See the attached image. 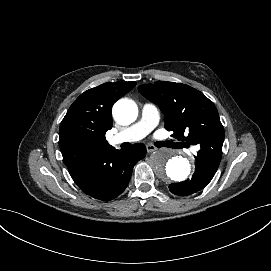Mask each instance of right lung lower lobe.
I'll use <instances>...</instances> for the list:
<instances>
[{"label": "right lung lower lobe", "instance_id": "right-lung-lower-lobe-1", "mask_svg": "<svg viewBox=\"0 0 271 271\" xmlns=\"http://www.w3.org/2000/svg\"><path fill=\"white\" fill-rule=\"evenodd\" d=\"M145 155L146 147L142 143L120 151L109 146L69 173L85 194L110 201L126 189L134 165Z\"/></svg>", "mask_w": 271, "mask_h": 271}]
</instances>
